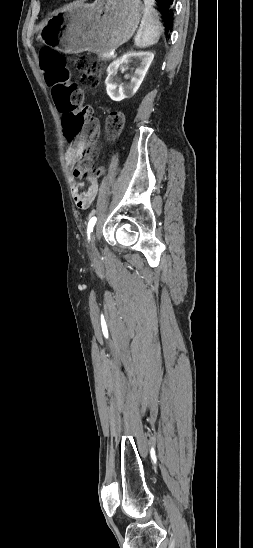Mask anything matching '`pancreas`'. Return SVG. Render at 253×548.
Returning <instances> with one entry per match:
<instances>
[{"instance_id":"pancreas-1","label":"pancreas","mask_w":253,"mask_h":548,"mask_svg":"<svg viewBox=\"0 0 253 548\" xmlns=\"http://www.w3.org/2000/svg\"><path fill=\"white\" fill-rule=\"evenodd\" d=\"M99 56L101 57V59H104V60H110L113 58V56H111L110 53L101 54Z\"/></svg>"}]
</instances>
